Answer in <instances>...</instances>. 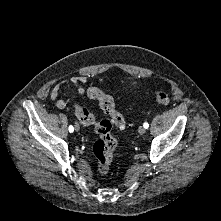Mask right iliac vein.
Returning a JSON list of instances; mask_svg holds the SVG:
<instances>
[{
  "mask_svg": "<svg viewBox=\"0 0 221 221\" xmlns=\"http://www.w3.org/2000/svg\"><path fill=\"white\" fill-rule=\"evenodd\" d=\"M75 129L78 131L80 129L79 125L76 123L75 124Z\"/></svg>",
  "mask_w": 221,
  "mask_h": 221,
  "instance_id": "obj_1",
  "label": "right iliac vein"
}]
</instances>
